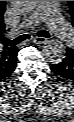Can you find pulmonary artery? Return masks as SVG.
Here are the masks:
<instances>
[{
	"instance_id": "1",
	"label": "pulmonary artery",
	"mask_w": 74,
	"mask_h": 122,
	"mask_svg": "<svg viewBox=\"0 0 74 122\" xmlns=\"http://www.w3.org/2000/svg\"><path fill=\"white\" fill-rule=\"evenodd\" d=\"M40 22H46L60 42L68 43L72 40V30L60 15L57 1H39L36 10L21 27L34 26Z\"/></svg>"
}]
</instances>
